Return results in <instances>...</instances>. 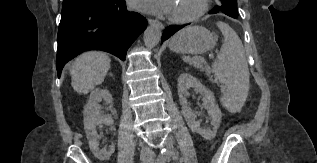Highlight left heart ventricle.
Here are the masks:
<instances>
[{"instance_id": "left-heart-ventricle-1", "label": "left heart ventricle", "mask_w": 317, "mask_h": 163, "mask_svg": "<svg viewBox=\"0 0 317 163\" xmlns=\"http://www.w3.org/2000/svg\"><path fill=\"white\" fill-rule=\"evenodd\" d=\"M197 0H174L170 15L184 16L196 9Z\"/></svg>"}]
</instances>
